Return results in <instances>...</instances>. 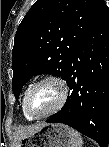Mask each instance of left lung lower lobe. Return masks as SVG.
<instances>
[{
	"instance_id": "0a47b994",
	"label": "left lung lower lobe",
	"mask_w": 109,
	"mask_h": 147,
	"mask_svg": "<svg viewBox=\"0 0 109 147\" xmlns=\"http://www.w3.org/2000/svg\"><path fill=\"white\" fill-rule=\"evenodd\" d=\"M71 89L61 112L46 122L63 123L109 143V10L106 8L76 48L65 77Z\"/></svg>"
}]
</instances>
